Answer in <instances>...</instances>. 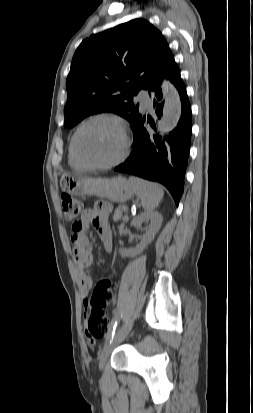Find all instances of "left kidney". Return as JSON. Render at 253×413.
I'll list each match as a JSON object with an SVG mask.
<instances>
[{
	"mask_svg": "<svg viewBox=\"0 0 253 413\" xmlns=\"http://www.w3.org/2000/svg\"><path fill=\"white\" fill-rule=\"evenodd\" d=\"M150 221L151 224L148 228L145 229V233L143 234L142 240L140 244L136 246L134 249H119V253L121 257H134L143 252V250L150 244L155 235L159 231L162 225L163 217L162 214L159 212H144L136 216L132 221L131 225L137 229L141 228V224L143 222Z\"/></svg>",
	"mask_w": 253,
	"mask_h": 413,
	"instance_id": "left-kidney-1",
	"label": "left kidney"
}]
</instances>
